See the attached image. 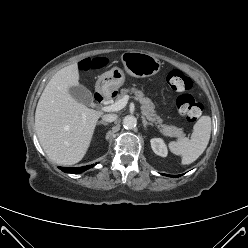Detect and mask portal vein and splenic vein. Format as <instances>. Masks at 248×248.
<instances>
[{
	"label": "portal vein and splenic vein",
	"instance_id": "1",
	"mask_svg": "<svg viewBox=\"0 0 248 248\" xmlns=\"http://www.w3.org/2000/svg\"><path fill=\"white\" fill-rule=\"evenodd\" d=\"M129 98H130V96L126 95L122 99H120L117 102H115L114 104L109 105V106H104L101 109L103 111H105V112L119 111V110L123 109L127 105V102L129 100Z\"/></svg>",
	"mask_w": 248,
	"mask_h": 248
}]
</instances>
